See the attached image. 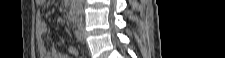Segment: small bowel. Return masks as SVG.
I'll list each match as a JSON object with an SVG mask.
<instances>
[{"label":"small bowel","instance_id":"obj_1","mask_svg":"<svg viewBox=\"0 0 225 58\" xmlns=\"http://www.w3.org/2000/svg\"><path fill=\"white\" fill-rule=\"evenodd\" d=\"M36 2L38 5H43L45 3V0H36ZM36 27L37 32L40 36L44 35L47 32V24L41 17L37 18ZM38 47L42 58H69L68 55L61 54L56 48H52L50 51H48L42 41L39 42ZM68 52L69 55L74 58L79 54L78 49L75 46H69Z\"/></svg>","mask_w":225,"mask_h":58}]
</instances>
